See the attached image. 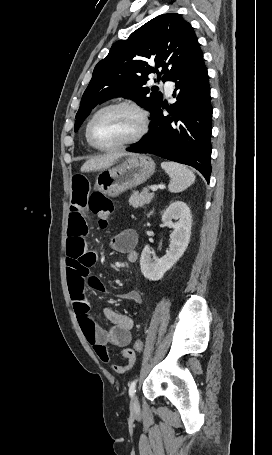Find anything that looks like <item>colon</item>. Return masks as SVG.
Returning a JSON list of instances; mask_svg holds the SVG:
<instances>
[{
	"instance_id": "obj_1",
	"label": "colon",
	"mask_w": 272,
	"mask_h": 455,
	"mask_svg": "<svg viewBox=\"0 0 272 455\" xmlns=\"http://www.w3.org/2000/svg\"><path fill=\"white\" fill-rule=\"evenodd\" d=\"M89 209L97 217L100 228L108 227L113 216V203L110 199L104 197L98 192L93 193L89 198ZM143 341L137 339L134 343V352L143 350Z\"/></svg>"
}]
</instances>
